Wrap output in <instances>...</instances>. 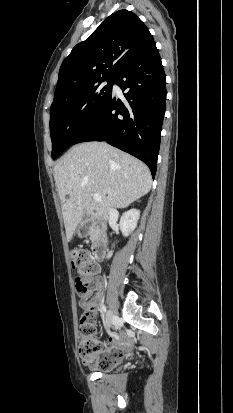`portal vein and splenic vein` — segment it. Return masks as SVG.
<instances>
[{
    "mask_svg": "<svg viewBox=\"0 0 233 413\" xmlns=\"http://www.w3.org/2000/svg\"><path fill=\"white\" fill-rule=\"evenodd\" d=\"M92 198H93V200H95V201H97V202H101V201H102L101 195L98 194V193H94V194L92 195Z\"/></svg>",
    "mask_w": 233,
    "mask_h": 413,
    "instance_id": "1",
    "label": "portal vein and splenic vein"
}]
</instances>
